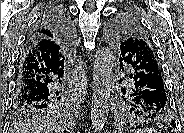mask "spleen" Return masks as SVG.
<instances>
[{"label":"spleen","instance_id":"spleen-1","mask_svg":"<svg viewBox=\"0 0 184 133\" xmlns=\"http://www.w3.org/2000/svg\"><path fill=\"white\" fill-rule=\"evenodd\" d=\"M133 133H144L146 132V130H142V129H136L132 131Z\"/></svg>","mask_w":184,"mask_h":133}]
</instances>
